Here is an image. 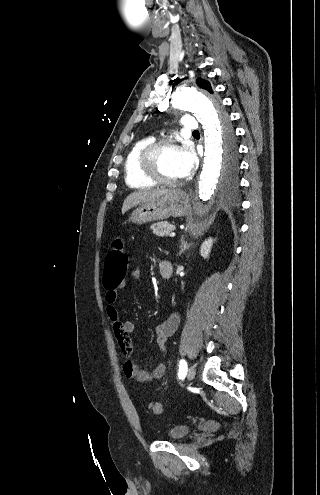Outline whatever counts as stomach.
I'll list each match as a JSON object with an SVG mask.
<instances>
[{
	"mask_svg": "<svg viewBox=\"0 0 320 495\" xmlns=\"http://www.w3.org/2000/svg\"><path fill=\"white\" fill-rule=\"evenodd\" d=\"M188 196L181 190H171L154 200L143 203L131 214V221L138 225L169 217H181L188 210Z\"/></svg>",
	"mask_w": 320,
	"mask_h": 495,
	"instance_id": "obj_1",
	"label": "stomach"
}]
</instances>
